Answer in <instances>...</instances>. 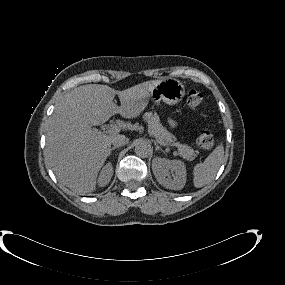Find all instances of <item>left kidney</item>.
I'll use <instances>...</instances> for the list:
<instances>
[{
    "label": "left kidney",
    "mask_w": 285,
    "mask_h": 285,
    "mask_svg": "<svg viewBox=\"0 0 285 285\" xmlns=\"http://www.w3.org/2000/svg\"><path fill=\"white\" fill-rule=\"evenodd\" d=\"M152 170L157 181L167 189L181 190L185 186L186 167L182 161L154 158Z\"/></svg>",
    "instance_id": "5707ae66"
}]
</instances>
